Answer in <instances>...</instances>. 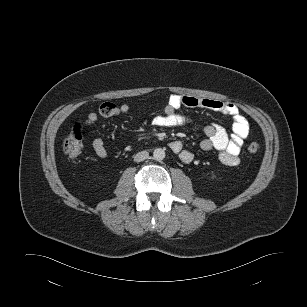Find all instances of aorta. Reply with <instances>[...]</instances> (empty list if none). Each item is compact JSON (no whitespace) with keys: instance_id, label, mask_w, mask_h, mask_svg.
I'll use <instances>...</instances> for the list:
<instances>
[{"instance_id":"obj_1","label":"aorta","mask_w":307,"mask_h":307,"mask_svg":"<svg viewBox=\"0 0 307 307\" xmlns=\"http://www.w3.org/2000/svg\"><path fill=\"white\" fill-rule=\"evenodd\" d=\"M153 157L157 161L163 160L165 158V151L162 148H156L153 151Z\"/></svg>"}]
</instances>
